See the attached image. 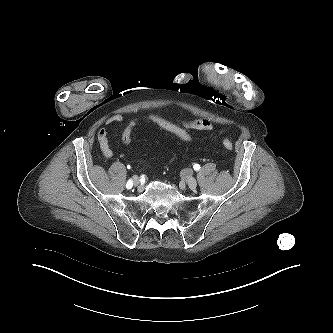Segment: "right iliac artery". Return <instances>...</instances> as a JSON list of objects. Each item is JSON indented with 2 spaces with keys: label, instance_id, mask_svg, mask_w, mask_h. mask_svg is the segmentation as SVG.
Wrapping results in <instances>:
<instances>
[{
  "label": "right iliac artery",
  "instance_id": "obj_1",
  "mask_svg": "<svg viewBox=\"0 0 333 333\" xmlns=\"http://www.w3.org/2000/svg\"><path fill=\"white\" fill-rule=\"evenodd\" d=\"M132 186H133V182H132V180L130 179V180H128V182H127V184H126V188H127V189H131Z\"/></svg>",
  "mask_w": 333,
  "mask_h": 333
}]
</instances>
